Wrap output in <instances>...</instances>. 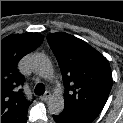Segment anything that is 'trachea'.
Returning <instances> with one entry per match:
<instances>
[{"label": "trachea", "mask_w": 123, "mask_h": 123, "mask_svg": "<svg viewBox=\"0 0 123 123\" xmlns=\"http://www.w3.org/2000/svg\"><path fill=\"white\" fill-rule=\"evenodd\" d=\"M45 92V87L43 84L39 83L35 87V94L36 95H42Z\"/></svg>", "instance_id": "obj_1"}]
</instances>
